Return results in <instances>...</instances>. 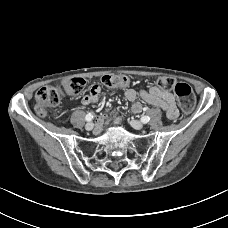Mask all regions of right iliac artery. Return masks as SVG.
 Masks as SVG:
<instances>
[{"instance_id":"82829eb1","label":"right iliac artery","mask_w":228,"mask_h":228,"mask_svg":"<svg viewBox=\"0 0 228 228\" xmlns=\"http://www.w3.org/2000/svg\"><path fill=\"white\" fill-rule=\"evenodd\" d=\"M93 119V114L92 113H88L85 117L86 121H91Z\"/></svg>"}]
</instances>
